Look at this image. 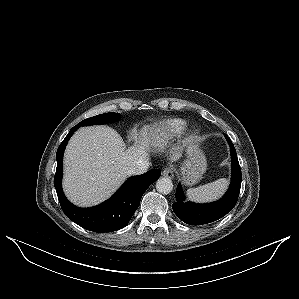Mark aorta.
<instances>
[{"label":"aorta","mask_w":299,"mask_h":299,"mask_svg":"<svg viewBox=\"0 0 299 299\" xmlns=\"http://www.w3.org/2000/svg\"><path fill=\"white\" fill-rule=\"evenodd\" d=\"M156 190L161 194H169L173 190L172 180L168 177H161L156 182Z\"/></svg>","instance_id":"1"}]
</instances>
